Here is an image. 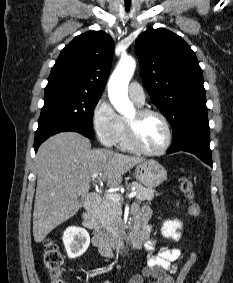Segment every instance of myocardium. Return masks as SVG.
<instances>
[{"label":"myocardium","mask_w":233,"mask_h":283,"mask_svg":"<svg viewBox=\"0 0 233 283\" xmlns=\"http://www.w3.org/2000/svg\"><path fill=\"white\" fill-rule=\"evenodd\" d=\"M157 116L159 117L167 130V140L165 144L158 150H149L145 148L138 139V124L139 122L147 117V116ZM125 126H126V134L127 139L130 144V146L133 148V150L150 156H156L161 155L165 153L171 146L173 141V130L171 127V124L168 120V118L160 111L150 108H139L136 110V118L134 120H125Z\"/></svg>","instance_id":"obj_1"}]
</instances>
